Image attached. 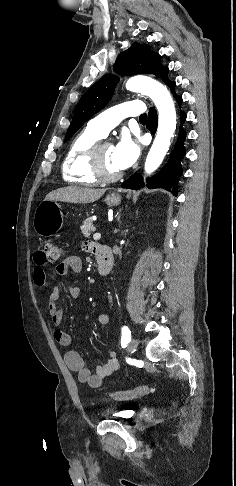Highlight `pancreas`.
<instances>
[{
	"label": "pancreas",
	"mask_w": 236,
	"mask_h": 486,
	"mask_svg": "<svg viewBox=\"0 0 236 486\" xmlns=\"http://www.w3.org/2000/svg\"><path fill=\"white\" fill-rule=\"evenodd\" d=\"M82 234L85 237H89L93 231L92 220L90 218L86 219L81 227Z\"/></svg>",
	"instance_id": "pancreas-1"
}]
</instances>
